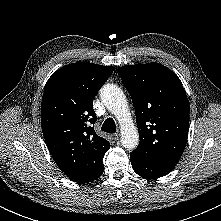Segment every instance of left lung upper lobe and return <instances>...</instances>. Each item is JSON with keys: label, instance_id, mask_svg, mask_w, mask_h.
Returning a JSON list of instances; mask_svg holds the SVG:
<instances>
[{"label": "left lung upper lobe", "instance_id": "obj_1", "mask_svg": "<svg viewBox=\"0 0 221 221\" xmlns=\"http://www.w3.org/2000/svg\"><path fill=\"white\" fill-rule=\"evenodd\" d=\"M117 72L136 112L140 142L131 154L175 166L189 129V103L180 79L159 63L126 65Z\"/></svg>", "mask_w": 221, "mask_h": 221}]
</instances>
